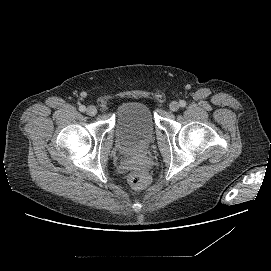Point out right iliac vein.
<instances>
[{
    "instance_id": "1",
    "label": "right iliac vein",
    "mask_w": 271,
    "mask_h": 271,
    "mask_svg": "<svg viewBox=\"0 0 271 271\" xmlns=\"http://www.w3.org/2000/svg\"><path fill=\"white\" fill-rule=\"evenodd\" d=\"M86 112L89 116H95L97 114V109L95 106H89Z\"/></svg>"
}]
</instances>
